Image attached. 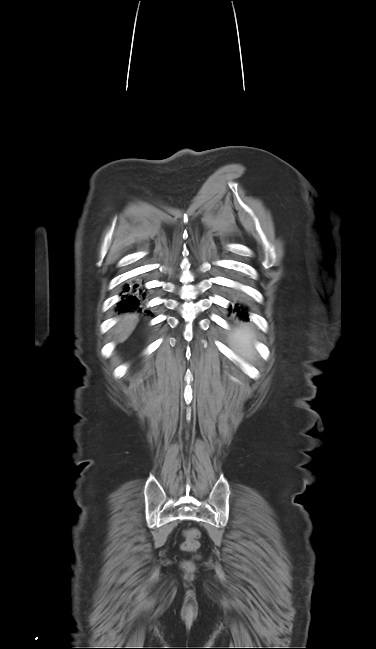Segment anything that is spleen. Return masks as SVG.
Listing matches in <instances>:
<instances>
[{
    "label": "spleen",
    "instance_id": "obj_1",
    "mask_svg": "<svg viewBox=\"0 0 376 649\" xmlns=\"http://www.w3.org/2000/svg\"><path fill=\"white\" fill-rule=\"evenodd\" d=\"M254 338V331L247 325L240 326L232 334V341L237 351L242 356L253 354L252 340Z\"/></svg>",
    "mask_w": 376,
    "mask_h": 649
}]
</instances>
